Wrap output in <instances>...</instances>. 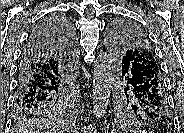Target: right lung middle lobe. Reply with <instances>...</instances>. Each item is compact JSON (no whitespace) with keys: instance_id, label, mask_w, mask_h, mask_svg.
I'll return each mask as SVG.
<instances>
[{"instance_id":"obj_1","label":"right lung middle lobe","mask_w":184,"mask_h":133,"mask_svg":"<svg viewBox=\"0 0 184 133\" xmlns=\"http://www.w3.org/2000/svg\"><path fill=\"white\" fill-rule=\"evenodd\" d=\"M68 25L71 22L65 17ZM69 95L53 96L49 98L43 104L37 105H25V104H15V114L17 116L26 117L33 114H53L63 111L67 108L69 102Z\"/></svg>"}]
</instances>
